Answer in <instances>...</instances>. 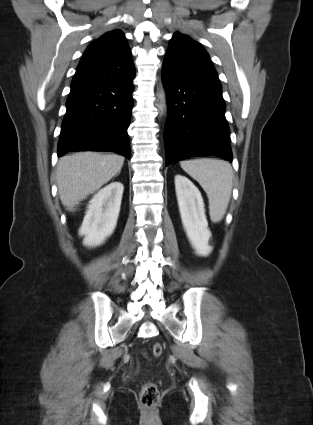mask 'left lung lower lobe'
Masks as SVG:
<instances>
[{"label": "left lung lower lobe", "mask_w": 313, "mask_h": 425, "mask_svg": "<svg viewBox=\"0 0 313 425\" xmlns=\"http://www.w3.org/2000/svg\"><path fill=\"white\" fill-rule=\"evenodd\" d=\"M162 79L168 104L166 165L195 156H220L232 161L219 79L191 73L168 59L163 62Z\"/></svg>", "instance_id": "0a47b994"}]
</instances>
